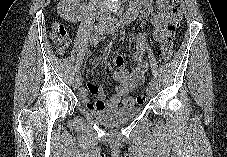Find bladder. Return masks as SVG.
Segmentation results:
<instances>
[{"label": "bladder", "instance_id": "1", "mask_svg": "<svg viewBox=\"0 0 227 157\" xmlns=\"http://www.w3.org/2000/svg\"><path fill=\"white\" fill-rule=\"evenodd\" d=\"M140 111L139 107L134 106H114L104 109H93L90 113L99 122L108 126H115L132 120L140 113Z\"/></svg>", "mask_w": 227, "mask_h": 157}]
</instances>
